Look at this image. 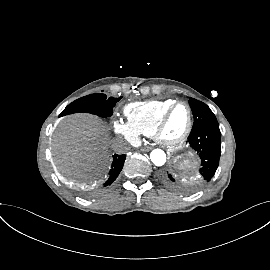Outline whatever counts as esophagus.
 Listing matches in <instances>:
<instances>
[{
	"label": "esophagus",
	"instance_id": "esophagus-1",
	"mask_svg": "<svg viewBox=\"0 0 270 270\" xmlns=\"http://www.w3.org/2000/svg\"><path fill=\"white\" fill-rule=\"evenodd\" d=\"M152 149V147L151 146H143V147H141V151H144V152H148V151H150Z\"/></svg>",
	"mask_w": 270,
	"mask_h": 270
}]
</instances>
